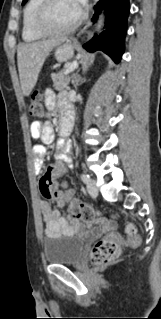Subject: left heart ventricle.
I'll list each match as a JSON object with an SVG mask.
<instances>
[{
  "mask_svg": "<svg viewBox=\"0 0 161 319\" xmlns=\"http://www.w3.org/2000/svg\"><path fill=\"white\" fill-rule=\"evenodd\" d=\"M80 10L77 0H55L48 13L47 24L52 29H63L78 17Z\"/></svg>",
  "mask_w": 161,
  "mask_h": 319,
  "instance_id": "b2bd125f",
  "label": "left heart ventricle"
}]
</instances>
